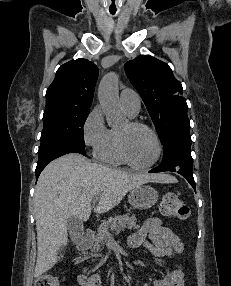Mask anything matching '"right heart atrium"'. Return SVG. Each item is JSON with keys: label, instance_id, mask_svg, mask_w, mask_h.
I'll list each match as a JSON object with an SVG mask.
<instances>
[{"label": "right heart atrium", "instance_id": "obj_1", "mask_svg": "<svg viewBox=\"0 0 231 286\" xmlns=\"http://www.w3.org/2000/svg\"><path fill=\"white\" fill-rule=\"evenodd\" d=\"M109 129L105 125L104 116L99 106L94 107L87 115L82 126L84 145L93 153L104 144Z\"/></svg>", "mask_w": 231, "mask_h": 286}]
</instances>
